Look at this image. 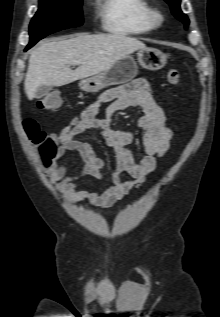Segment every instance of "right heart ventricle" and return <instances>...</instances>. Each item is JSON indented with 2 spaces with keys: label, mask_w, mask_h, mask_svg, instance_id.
<instances>
[{
  "label": "right heart ventricle",
  "mask_w": 220,
  "mask_h": 317,
  "mask_svg": "<svg viewBox=\"0 0 220 317\" xmlns=\"http://www.w3.org/2000/svg\"><path fill=\"white\" fill-rule=\"evenodd\" d=\"M151 10L147 0H98L97 6L103 29L121 36L150 32L154 27Z\"/></svg>",
  "instance_id": "e07e8e85"
}]
</instances>
